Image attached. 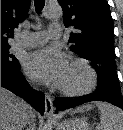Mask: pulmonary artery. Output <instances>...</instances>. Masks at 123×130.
Instances as JSON below:
<instances>
[{
	"label": "pulmonary artery",
	"mask_w": 123,
	"mask_h": 130,
	"mask_svg": "<svg viewBox=\"0 0 123 130\" xmlns=\"http://www.w3.org/2000/svg\"><path fill=\"white\" fill-rule=\"evenodd\" d=\"M62 35V28L59 24H52L48 31L32 32L24 35L16 42L17 47L30 48L40 46L48 41L50 38H60Z\"/></svg>",
	"instance_id": "obj_1"
}]
</instances>
